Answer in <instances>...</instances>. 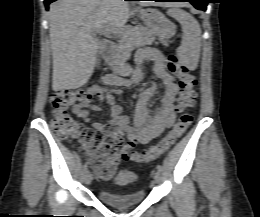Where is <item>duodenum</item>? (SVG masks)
Wrapping results in <instances>:
<instances>
[{"label": "duodenum", "instance_id": "obj_1", "mask_svg": "<svg viewBox=\"0 0 260 217\" xmlns=\"http://www.w3.org/2000/svg\"><path fill=\"white\" fill-rule=\"evenodd\" d=\"M104 58L109 61L111 63L112 66L116 67L117 63H116V53L114 52V50L111 47H108L107 49H105L104 51Z\"/></svg>", "mask_w": 260, "mask_h": 217}]
</instances>
